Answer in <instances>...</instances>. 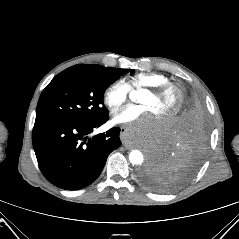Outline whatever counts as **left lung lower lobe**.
I'll list each match as a JSON object with an SVG mask.
<instances>
[{
	"instance_id": "left-lung-lower-lobe-1",
	"label": "left lung lower lobe",
	"mask_w": 239,
	"mask_h": 239,
	"mask_svg": "<svg viewBox=\"0 0 239 239\" xmlns=\"http://www.w3.org/2000/svg\"><path fill=\"white\" fill-rule=\"evenodd\" d=\"M207 138L208 126L201 99L189 95L173 126L151 152L144 174L155 175L163 191L187 183L203 160Z\"/></svg>"
}]
</instances>
